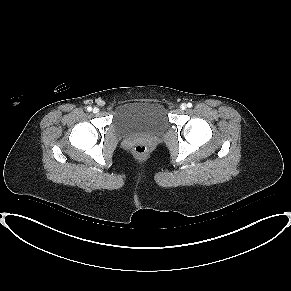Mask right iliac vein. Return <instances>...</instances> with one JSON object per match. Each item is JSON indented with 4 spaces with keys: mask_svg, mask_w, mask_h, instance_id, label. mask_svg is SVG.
Here are the masks:
<instances>
[{
    "mask_svg": "<svg viewBox=\"0 0 291 291\" xmlns=\"http://www.w3.org/2000/svg\"><path fill=\"white\" fill-rule=\"evenodd\" d=\"M99 112V109L97 108V107H95L94 109H93V113H98Z\"/></svg>",
    "mask_w": 291,
    "mask_h": 291,
    "instance_id": "63e3f726",
    "label": "right iliac vein"
}]
</instances>
